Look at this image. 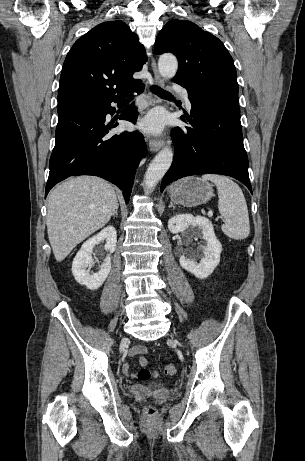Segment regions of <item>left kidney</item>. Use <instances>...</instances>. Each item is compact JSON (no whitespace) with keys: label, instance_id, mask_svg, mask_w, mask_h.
<instances>
[{"label":"left kidney","instance_id":"left-kidney-1","mask_svg":"<svg viewBox=\"0 0 305 461\" xmlns=\"http://www.w3.org/2000/svg\"><path fill=\"white\" fill-rule=\"evenodd\" d=\"M189 227L197 228L206 241V246H201V260L199 263L193 258V252L188 250L180 256L179 262L182 268L192 273L199 279L207 278L220 262L222 245L216 238L212 223L205 217L191 214H180L168 221V229L177 234L186 231Z\"/></svg>","mask_w":305,"mask_h":461}]
</instances>
